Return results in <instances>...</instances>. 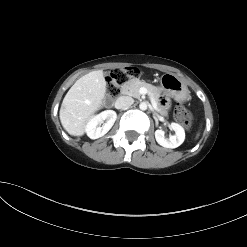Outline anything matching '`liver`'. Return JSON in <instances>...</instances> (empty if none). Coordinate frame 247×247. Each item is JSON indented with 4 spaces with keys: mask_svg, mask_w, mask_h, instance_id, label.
I'll return each mask as SVG.
<instances>
[{
    "mask_svg": "<svg viewBox=\"0 0 247 247\" xmlns=\"http://www.w3.org/2000/svg\"><path fill=\"white\" fill-rule=\"evenodd\" d=\"M106 81L102 70L92 71L79 78L65 95L60 108V121L73 136L85 133L86 123L102 107Z\"/></svg>",
    "mask_w": 247,
    "mask_h": 247,
    "instance_id": "obj_1",
    "label": "liver"
}]
</instances>
